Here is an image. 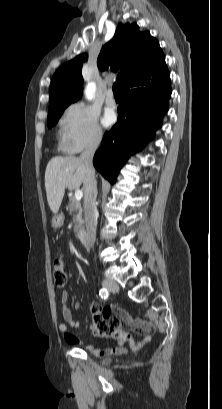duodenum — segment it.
<instances>
[{"instance_id": "duodenum-1", "label": "duodenum", "mask_w": 222, "mask_h": 409, "mask_svg": "<svg viewBox=\"0 0 222 409\" xmlns=\"http://www.w3.org/2000/svg\"><path fill=\"white\" fill-rule=\"evenodd\" d=\"M78 237L85 248L88 249L89 242L86 233L83 230L78 231Z\"/></svg>"}]
</instances>
